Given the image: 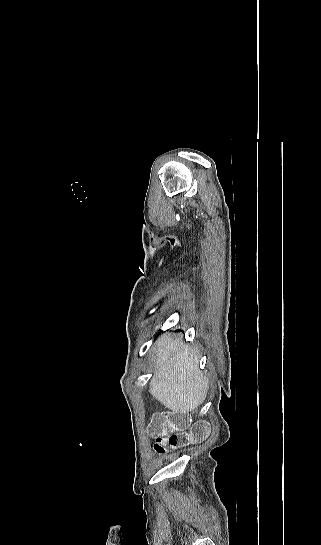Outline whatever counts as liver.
Returning <instances> with one entry per match:
<instances>
[{
    "label": "liver",
    "instance_id": "1",
    "mask_svg": "<svg viewBox=\"0 0 321 545\" xmlns=\"http://www.w3.org/2000/svg\"><path fill=\"white\" fill-rule=\"evenodd\" d=\"M156 345L149 393L174 413H190L204 403L209 389L207 377L198 369L199 355L181 339L173 341L166 335Z\"/></svg>",
    "mask_w": 321,
    "mask_h": 545
}]
</instances>
